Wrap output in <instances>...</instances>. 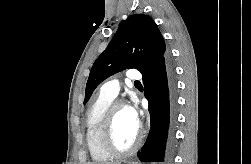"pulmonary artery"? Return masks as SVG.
<instances>
[{"mask_svg":"<svg viewBox=\"0 0 251 164\" xmlns=\"http://www.w3.org/2000/svg\"><path fill=\"white\" fill-rule=\"evenodd\" d=\"M127 78L131 81H138L141 79V74L135 69H131L127 72ZM120 89V83L117 79L106 82L101 87V94L115 98L118 95Z\"/></svg>","mask_w":251,"mask_h":164,"instance_id":"e3ab8cb5","label":"pulmonary artery"}]
</instances>
